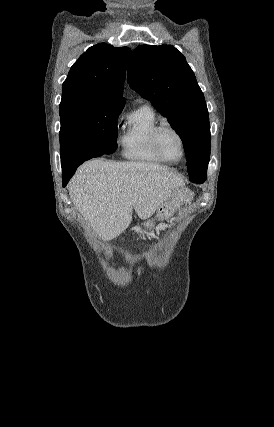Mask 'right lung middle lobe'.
<instances>
[{
  "instance_id": "1",
  "label": "right lung middle lobe",
  "mask_w": 274,
  "mask_h": 427,
  "mask_svg": "<svg viewBox=\"0 0 274 427\" xmlns=\"http://www.w3.org/2000/svg\"><path fill=\"white\" fill-rule=\"evenodd\" d=\"M121 102H83L60 108L62 166L113 153Z\"/></svg>"
}]
</instances>
